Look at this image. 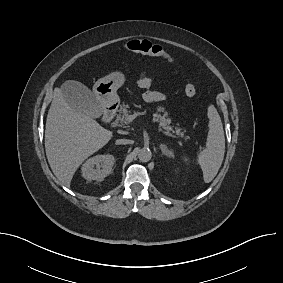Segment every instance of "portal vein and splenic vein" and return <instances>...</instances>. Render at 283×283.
Instances as JSON below:
<instances>
[{
  "mask_svg": "<svg viewBox=\"0 0 283 283\" xmlns=\"http://www.w3.org/2000/svg\"><path fill=\"white\" fill-rule=\"evenodd\" d=\"M134 118H135V115H129L128 118H127V121H128V122H131ZM160 131H161V129H160ZM163 133H164L165 135H167V136L176 138V136H174V135H172V134H170V133H167V132H164V131H163Z\"/></svg>",
  "mask_w": 283,
  "mask_h": 283,
  "instance_id": "18ae733b",
  "label": "portal vein and splenic vein"
}]
</instances>
